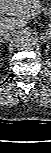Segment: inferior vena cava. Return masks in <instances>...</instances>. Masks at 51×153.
I'll list each match as a JSON object with an SVG mask.
<instances>
[{"label": "inferior vena cava", "mask_w": 51, "mask_h": 153, "mask_svg": "<svg viewBox=\"0 0 51 153\" xmlns=\"http://www.w3.org/2000/svg\"><path fill=\"white\" fill-rule=\"evenodd\" d=\"M14 34H15V29L2 26L0 29V40L1 41L10 40Z\"/></svg>", "instance_id": "inferior-vena-cava-1"}]
</instances>
